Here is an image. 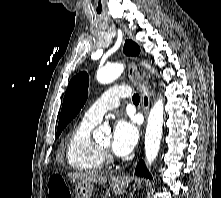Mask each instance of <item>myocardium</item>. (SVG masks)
I'll list each match as a JSON object with an SVG mask.
<instances>
[{"label":"myocardium","instance_id":"1","mask_svg":"<svg viewBox=\"0 0 221 198\" xmlns=\"http://www.w3.org/2000/svg\"><path fill=\"white\" fill-rule=\"evenodd\" d=\"M97 145H98V147L104 157V160L107 162H112L113 156L110 153L109 147L102 146L101 144H97Z\"/></svg>","mask_w":221,"mask_h":198}]
</instances>
